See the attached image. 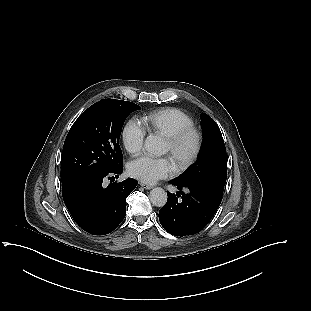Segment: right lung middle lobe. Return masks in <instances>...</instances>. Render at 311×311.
<instances>
[{
	"mask_svg": "<svg viewBox=\"0 0 311 311\" xmlns=\"http://www.w3.org/2000/svg\"><path fill=\"white\" fill-rule=\"evenodd\" d=\"M141 109L132 102L103 99L72 125L63 146L62 184L89 173L110 172L122 165L119 138L127 116Z\"/></svg>",
	"mask_w": 311,
	"mask_h": 311,
	"instance_id": "right-lung-middle-lobe-1",
	"label": "right lung middle lobe"
}]
</instances>
